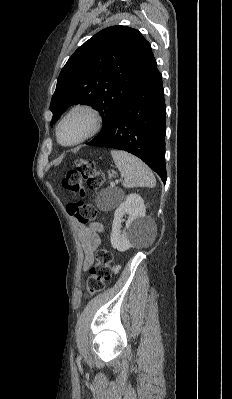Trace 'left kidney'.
I'll list each match as a JSON object with an SVG mask.
<instances>
[{"label": "left kidney", "mask_w": 232, "mask_h": 399, "mask_svg": "<svg viewBox=\"0 0 232 399\" xmlns=\"http://www.w3.org/2000/svg\"><path fill=\"white\" fill-rule=\"evenodd\" d=\"M144 200L138 194H130L123 203H120L114 213L112 233L110 235L112 247L118 251H126L129 247H135L140 241H144L150 233L151 221L146 217ZM126 219L125 231H122L124 215Z\"/></svg>", "instance_id": "obj_1"}]
</instances>
